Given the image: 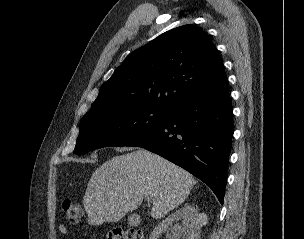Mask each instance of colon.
I'll return each mask as SVG.
<instances>
[{"instance_id": "obj_1", "label": "colon", "mask_w": 304, "mask_h": 239, "mask_svg": "<svg viewBox=\"0 0 304 239\" xmlns=\"http://www.w3.org/2000/svg\"><path fill=\"white\" fill-rule=\"evenodd\" d=\"M62 209L69 223L76 224L83 216L82 206L78 202L65 200ZM108 239H142V233L132 228L117 227L109 231Z\"/></svg>"}]
</instances>
